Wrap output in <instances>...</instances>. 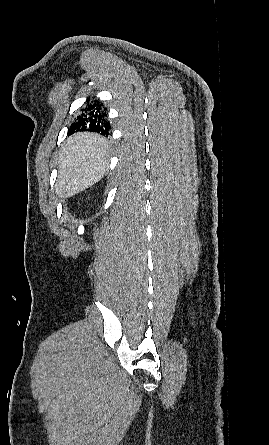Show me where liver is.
<instances>
[{
	"instance_id": "obj_1",
	"label": "liver",
	"mask_w": 269,
	"mask_h": 445,
	"mask_svg": "<svg viewBox=\"0 0 269 445\" xmlns=\"http://www.w3.org/2000/svg\"><path fill=\"white\" fill-rule=\"evenodd\" d=\"M108 142L93 133H77L68 138L59 157L56 193L71 197L98 182L106 172Z\"/></svg>"
}]
</instances>
